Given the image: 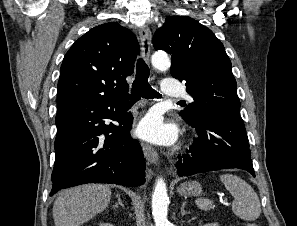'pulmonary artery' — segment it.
I'll return each mask as SVG.
<instances>
[{
    "mask_svg": "<svg viewBox=\"0 0 297 226\" xmlns=\"http://www.w3.org/2000/svg\"><path fill=\"white\" fill-rule=\"evenodd\" d=\"M161 91L165 97H170V98L188 97L184 89L178 85L175 78L165 79L162 82Z\"/></svg>",
    "mask_w": 297,
    "mask_h": 226,
    "instance_id": "e3ab8cb5",
    "label": "pulmonary artery"
}]
</instances>
